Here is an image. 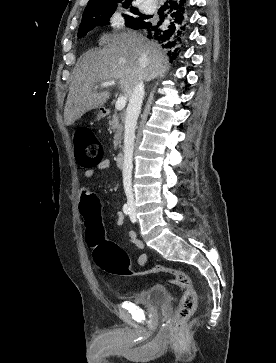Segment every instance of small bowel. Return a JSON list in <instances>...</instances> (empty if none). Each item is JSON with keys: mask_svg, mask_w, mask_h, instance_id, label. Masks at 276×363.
Wrapping results in <instances>:
<instances>
[{"mask_svg": "<svg viewBox=\"0 0 276 363\" xmlns=\"http://www.w3.org/2000/svg\"><path fill=\"white\" fill-rule=\"evenodd\" d=\"M109 166H110V161L108 159H105L102 162H100L99 164H97L94 168H90V169L86 170L85 177L86 178H92L98 172L107 169ZM80 210H81L82 215L86 219V223H87L88 216L91 213L98 211V201H97L96 194L94 192H92L88 188H83L81 190ZM112 218L114 219V221L116 222V224L118 226H121L122 225V223H123V217H122V213L121 212H119V211L118 212H114L112 214ZM129 237H130L132 243L137 248H140V249H143L144 248V243L141 240H139L133 232H131L129 234ZM138 263L142 267L146 265V263H147V255L145 253H143V254H141L139 256Z\"/></svg>", "mask_w": 276, "mask_h": 363, "instance_id": "obj_1", "label": "small bowel"}]
</instances>
